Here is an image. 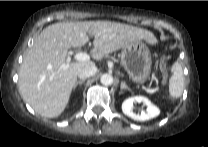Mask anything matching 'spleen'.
Wrapping results in <instances>:
<instances>
[{
  "mask_svg": "<svg viewBox=\"0 0 208 147\" xmlns=\"http://www.w3.org/2000/svg\"><path fill=\"white\" fill-rule=\"evenodd\" d=\"M171 78L169 81V94L173 98H179L184 90L183 69L179 62H175L171 67Z\"/></svg>",
  "mask_w": 208,
  "mask_h": 147,
  "instance_id": "1",
  "label": "spleen"
}]
</instances>
